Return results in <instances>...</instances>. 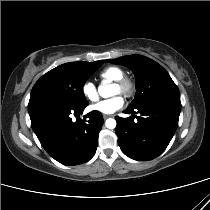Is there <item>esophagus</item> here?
I'll return each instance as SVG.
<instances>
[{"label":"esophagus","instance_id":"1","mask_svg":"<svg viewBox=\"0 0 210 210\" xmlns=\"http://www.w3.org/2000/svg\"><path fill=\"white\" fill-rule=\"evenodd\" d=\"M109 117H111V116H110V115H106V114L103 115V118H104V119H107V118H109Z\"/></svg>","mask_w":210,"mask_h":210}]
</instances>
